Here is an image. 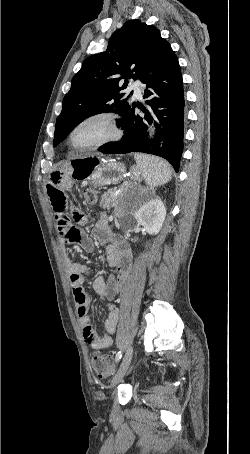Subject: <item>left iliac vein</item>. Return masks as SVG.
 Listing matches in <instances>:
<instances>
[{"mask_svg":"<svg viewBox=\"0 0 250 454\" xmlns=\"http://www.w3.org/2000/svg\"><path fill=\"white\" fill-rule=\"evenodd\" d=\"M132 356H133V347L130 346L127 349V351L123 357V360L121 362V365H120L117 373L115 374V376L113 377V379L111 381V384H110L111 388L115 387L123 379L124 375L126 374L128 368L130 366Z\"/></svg>","mask_w":250,"mask_h":454,"instance_id":"left-iliac-vein-1","label":"left iliac vein"}]
</instances>
